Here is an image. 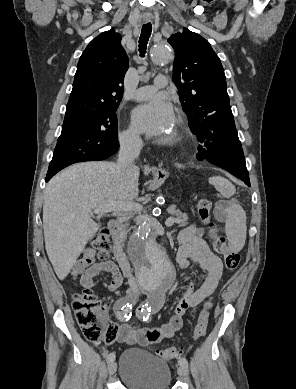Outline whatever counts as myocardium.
<instances>
[{"mask_svg": "<svg viewBox=\"0 0 296 389\" xmlns=\"http://www.w3.org/2000/svg\"><path fill=\"white\" fill-rule=\"evenodd\" d=\"M179 122L178 121H175L174 122V125L170 131L169 134H167L163 139L162 141L165 142V143H171V142H174L178 139L179 137Z\"/></svg>", "mask_w": 296, "mask_h": 389, "instance_id": "f54148a6", "label": "myocardium"}]
</instances>
